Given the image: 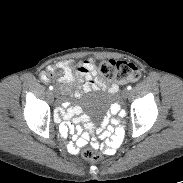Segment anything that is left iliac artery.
Listing matches in <instances>:
<instances>
[{"instance_id": "obj_1", "label": "left iliac artery", "mask_w": 183, "mask_h": 183, "mask_svg": "<svg viewBox=\"0 0 183 183\" xmlns=\"http://www.w3.org/2000/svg\"><path fill=\"white\" fill-rule=\"evenodd\" d=\"M127 89H128V90H131V89H132V87L129 85V86L127 87Z\"/></svg>"}]
</instances>
